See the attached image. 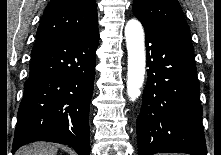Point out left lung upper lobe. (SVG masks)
Returning <instances> with one entry per match:
<instances>
[{
    "mask_svg": "<svg viewBox=\"0 0 221 155\" xmlns=\"http://www.w3.org/2000/svg\"><path fill=\"white\" fill-rule=\"evenodd\" d=\"M133 14L191 41L189 26L177 0H134Z\"/></svg>",
    "mask_w": 221,
    "mask_h": 155,
    "instance_id": "left-lung-upper-lobe-1",
    "label": "left lung upper lobe"
}]
</instances>
